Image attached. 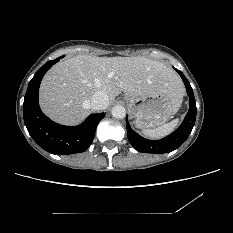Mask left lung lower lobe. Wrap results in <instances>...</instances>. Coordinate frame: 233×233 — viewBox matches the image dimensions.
<instances>
[{
  "label": "left lung lower lobe",
  "mask_w": 233,
  "mask_h": 233,
  "mask_svg": "<svg viewBox=\"0 0 233 233\" xmlns=\"http://www.w3.org/2000/svg\"><path fill=\"white\" fill-rule=\"evenodd\" d=\"M175 70L181 76L185 84L187 94L189 95V111L179 128L176 129L172 134L161 140H148L141 137L130 127V124L127 121L126 117L128 140L130 144L139 152L155 154L172 152L187 140L192 131L196 119V102L193 90L184 74L177 69Z\"/></svg>",
  "instance_id": "1"
}]
</instances>
